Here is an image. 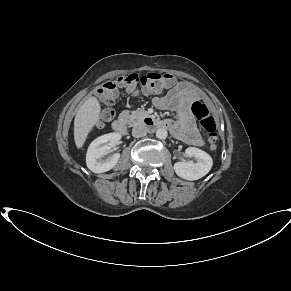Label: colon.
<instances>
[{"label":"colon","mask_w":291,"mask_h":291,"mask_svg":"<svg viewBox=\"0 0 291 291\" xmlns=\"http://www.w3.org/2000/svg\"><path fill=\"white\" fill-rule=\"evenodd\" d=\"M174 83L175 78L171 74L159 72L131 73L105 82L99 90V99L103 104L100 114L101 122L107 121L113 116L112 107L119 97L120 90L124 89L128 92L141 90L147 95H152L162 93L171 88ZM191 110L202 128L207 132L210 149L215 150L218 136L213 114L207 105L199 101L192 104Z\"/></svg>","instance_id":"colon-1"}]
</instances>
